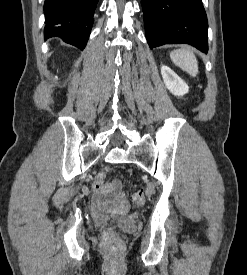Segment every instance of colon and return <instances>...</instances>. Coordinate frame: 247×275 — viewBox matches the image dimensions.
Segmentation results:
<instances>
[{
	"mask_svg": "<svg viewBox=\"0 0 247 275\" xmlns=\"http://www.w3.org/2000/svg\"><path fill=\"white\" fill-rule=\"evenodd\" d=\"M105 178H106V174L104 172L99 173L96 176L94 186L97 189L102 188L103 185L105 184L104 183ZM144 202H145V191L142 189L133 195V203L136 206H141L144 204ZM102 238L105 246L109 249H116L120 246V240L113 228L106 229L103 232Z\"/></svg>",
	"mask_w": 247,
	"mask_h": 275,
	"instance_id": "obj_1",
	"label": "colon"
}]
</instances>
